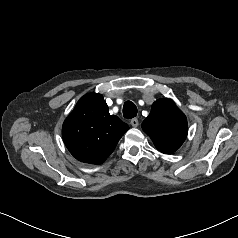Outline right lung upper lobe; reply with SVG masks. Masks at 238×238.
I'll use <instances>...</instances> for the list:
<instances>
[{
  "label": "right lung upper lobe",
  "mask_w": 238,
  "mask_h": 238,
  "mask_svg": "<svg viewBox=\"0 0 238 238\" xmlns=\"http://www.w3.org/2000/svg\"><path fill=\"white\" fill-rule=\"evenodd\" d=\"M129 129L117 116L110 115L102 95L83 96L62 127L64 143L79 161L101 164L113 152Z\"/></svg>",
  "instance_id": "1"
}]
</instances>
